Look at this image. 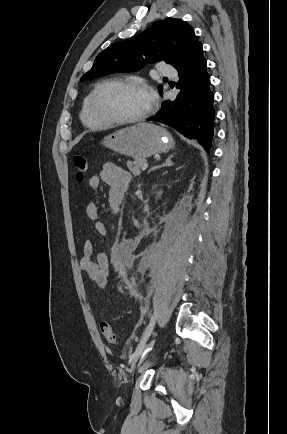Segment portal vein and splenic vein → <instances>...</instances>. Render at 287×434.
Returning a JSON list of instances; mask_svg holds the SVG:
<instances>
[{"mask_svg": "<svg viewBox=\"0 0 287 434\" xmlns=\"http://www.w3.org/2000/svg\"><path fill=\"white\" fill-rule=\"evenodd\" d=\"M147 167H148V163L144 162L142 165V170L145 171L147 169Z\"/></svg>", "mask_w": 287, "mask_h": 434, "instance_id": "18ae733b", "label": "portal vein and splenic vein"}]
</instances>
